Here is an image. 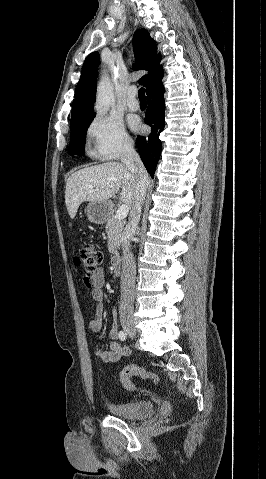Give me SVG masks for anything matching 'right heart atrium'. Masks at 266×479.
Returning a JSON list of instances; mask_svg holds the SVG:
<instances>
[{
  "label": "right heart atrium",
  "instance_id": "1",
  "mask_svg": "<svg viewBox=\"0 0 266 479\" xmlns=\"http://www.w3.org/2000/svg\"><path fill=\"white\" fill-rule=\"evenodd\" d=\"M91 154L100 160H117L132 149V141L122 123L114 118L99 115L87 129Z\"/></svg>",
  "mask_w": 266,
  "mask_h": 479
}]
</instances>
